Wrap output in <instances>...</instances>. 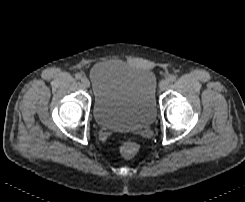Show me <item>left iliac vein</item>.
<instances>
[{
  "label": "left iliac vein",
  "mask_w": 245,
  "mask_h": 202,
  "mask_svg": "<svg viewBox=\"0 0 245 202\" xmlns=\"http://www.w3.org/2000/svg\"><path fill=\"white\" fill-rule=\"evenodd\" d=\"M169 85V81L167 79H163L161 82H160V89L163 91V90H166L167 87Z\"/></svg>",
  "instance_id": "obj_1"
}]
</instances>
